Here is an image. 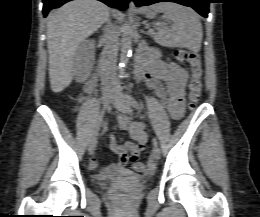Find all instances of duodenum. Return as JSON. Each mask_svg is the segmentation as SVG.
Instances as JSON below:
<instances>
[{
	"label": "duodenum",
	"mask_w": 260,
	"mask_h": 217,
	"mask_svg": "<svg viewBox=\"0 0 260 217\" xmlns=\"http://www.w3.org/2000/svg\"><path fill=\"white\" fill-rule=\"evenodd\" d=\"M95 86V81L94 80H91L89 82L86 83L85 87H84V91L85 92H90L93 90Z\"/></svg>",
	"instance_id": "410a0bca"
}]
</instances>
